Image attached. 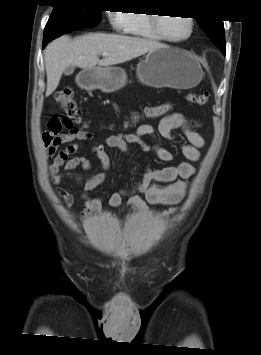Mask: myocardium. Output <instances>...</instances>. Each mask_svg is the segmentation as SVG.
<instances>
[{
	"label": "myocardium",
	"mask_w": 261,
	"mask_h": 355,
	"mask_svg": "<svg viewBox=\"0 0 261 355\" xmlns=\"http://www.w3.org/2000/svg\"><path fill=\"white\" fill-rule=\"evenodd\" d=\"M186 18L188 19L190 30H189L188 35H186L182 38H179V39L170 38L163 33V31L161 29V18L158 17V15L157 16H155V14L151 15V24H152V28H153L154 32L159 37V39L166 41V42H170V43H181V42H184V41L188 40L189 38H191L194 33V29H195V20L193 19V17L186 16Z\"/></svg>",
	"instance_id": "myocardium-1"
}]
</instances>
